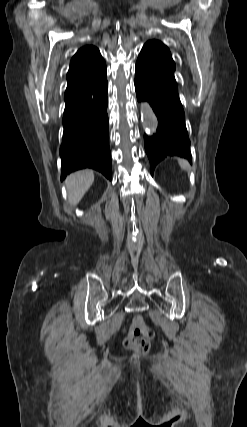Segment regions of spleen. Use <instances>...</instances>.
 Listing matches in <instances>:
<instances>
[{
  "label": "spleen",
  "mask_w": 247,
  "mask_h": 427,
  "mask_svg": "<svg viewBox=\"0 0 247 427\" xmlns=\"http://www.w3.org/2000/svg\"><path fill=\"white\" fill-rule=\"evenodd\" d=\"M178 163L183 170H189L190 169L189 164L185 160L180 159V160H178Z\"/></svg>",
  "instance_id": "spleen-1"
}]
</instances>
